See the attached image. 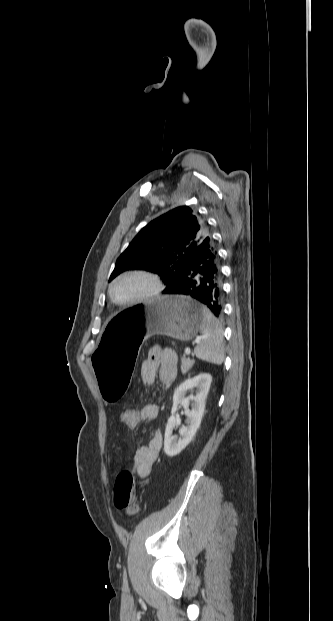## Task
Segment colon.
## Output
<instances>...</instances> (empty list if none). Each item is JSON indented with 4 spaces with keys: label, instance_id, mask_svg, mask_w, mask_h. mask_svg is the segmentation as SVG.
<instances>
[{
    "label": "colon",
    "instance_id": "1",
    "mask_svg": "<svg viewBox=\"0 0 333 621\" xmlns=\"http://www.w3.org/2000/svg\"><path fill=\"white\" fill-rule=\"evenodd\" d=\"M122 422L130 429L137 428L141 421V410L134 407H126L121 414ZM114 504L117 509L132 516L138 512L135 501V481L129 470L121 471L114 484Z\"/></svg>",
    "mask_w": 333,
    "mask_h": 621
}]
</instances>
